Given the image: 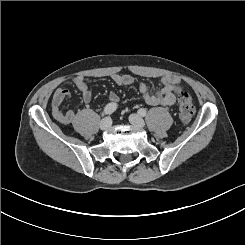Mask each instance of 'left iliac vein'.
Wrapping results in <instances>:
<instances>
[{
	"mask_svg": "<svg viewBox=\"0 0 245 245\" xmlns=\"http://www.w3.org/2000/svg\"><path fill=\"white\" fill-rule=\"evenodd\" d=\"M129 121H130V123L132 125H135V126H138V127H142L145 124V121L138 114H131L129 116Z\"/></svg>",
	"mask_w": 245,
	"mask_h": 245,
	"instance_id": "obj_1",
	"label": "left iliac vein"
}]
</instances>
